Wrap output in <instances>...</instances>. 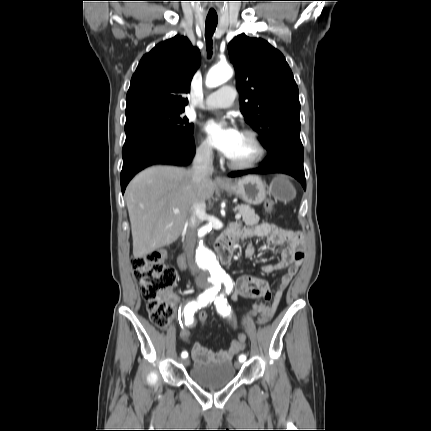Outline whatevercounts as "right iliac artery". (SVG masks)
<instances>
[{
  "instance_id": "1",
  "label": "right iliac artery",
  "mask_w": 431,
  "mask_h": 431,
  "mask_svg": "<svg viewBox=\"0 0 431 431\" xmlns=\"http://www.w3.org/2000/svg\"><path fill=\"white\" fill-rule=\"evenodd\" d=\"M220 287L221 284L219 283L215 285L214 288L208 289L202 294H200L197 300L190 301L188 304H186L183 310L186 325H189L193 322V315L198 309L206 306L208 303H211L213 301L214 293L219 290ZM181 356L182 358H186L188 356V353L184 351L182 352Z\"/></svg>"
}]
</instances>
